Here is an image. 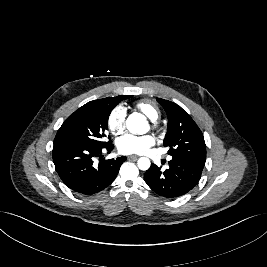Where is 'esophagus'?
Returning a JSON list of instances; mask_svg holds the SVG:
<instances>
[{
	"label": "esophagus",
	"mask_w": 267,
	"mask_h": 267,
	"mask_svg": "<svg viewBox=\"0 0 267 267\" xmlns=\"http://www.w3.org/2000/svg\"><path fill=\"white\" fill-rule=\"evenodd\" d=\"M138 158H139V156H137V155L128 156L129 160H137Z\"/></svg>",
	"instance_id": "obj_1"
}]
</instances>
